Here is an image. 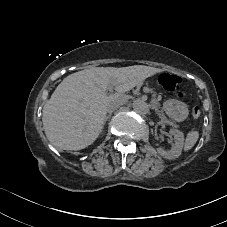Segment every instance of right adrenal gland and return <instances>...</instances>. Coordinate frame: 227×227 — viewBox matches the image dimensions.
<instances>
[{
  "mask_svg": "<svg viewBox=\"0 0 227 227\" xmlns=\"http://www.w3.org/2000/svg\"><path fill=\"white\" fill-rule=\"evenodd\" d=\"M110 116H111V114H109L106 118H105V120H104V124L109 120V118H110ZM100 134H102V131H101V133Z\"/></svg>",
  "mask_w": 227,
  "mask_h": 227,
  "instance_id": "1",
  "label": "right adrenal gland"
}]
</instances>
